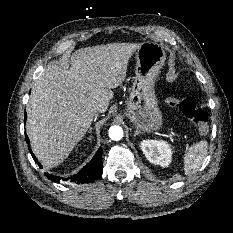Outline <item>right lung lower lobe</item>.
Wrapping results in <instances>:
<instances>
[{"mask_svg":"<svg viewBox=\"0 0 233 233\" xmlns=\"http://www.w3.org/2000/svg\"><path fill=\"white\" fill-rule=\"evenodd\" d=\"M24 121H26V114L24 117ZM25 138H26V142L28 143V145H30L29 138L26 134H25ZM29 151H30L34 161L37 162V159L34 156L30 147H29ZM38 165L41 167L40 163H38ZM102 172H103V169H102V150H101V148H99L98 151L96 152V155L92 158V160L86 166H84L76 175L72 176L70 178V181L75 182L77 184L92 183L99 176L102 175ZM46 176L54 182H59L61 179V177L53 176L50 174H46ZM63 180H69V178H63Z\"/></svg>","mask_w":233,"mask_h":233,"instance_id":"1","label":"right lung lower lobe"}]
</instances>
